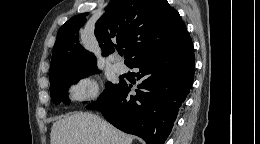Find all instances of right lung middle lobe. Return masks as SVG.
I'll list each match as a JSON object with an SVG mask.
<instances>
[{"instance_id": "obj_1", "label": "right lung middle lobe", "mask_w": 260, "mask_h": 144, "mask_svg": "<svg viewBox=\"0 0 260 144\" xmlns=\"http://www.w3.org/2000/svg\"><path fill=\"white\" fill-rule=\"evenodd\" d=\"M97 67H86L81 69H73L55 73L49 76L50 79V94L52 100L55 104H59L63 101L66 104L70 103V99L67 96V90L72 83L77 82L79 79L87 77L91 74L97 73ZM117 84L107 82L105 84V89L100 97H103L112 89H114ZM99 97V98H100Z\"/></svg>"}]
</instances>
